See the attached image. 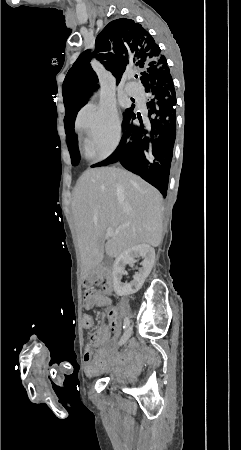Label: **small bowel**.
Listing matches in <instances>:
<instances>
[{
    "instance_id": "c3829d8e",
    "label": "small bowel",
    "mask_w": 241,
    "mask_h": 450,
    "mask_svg": "<svg viewBox=\"0 0 241 450\" xmlns=\"http://www.w3.org/2000/svg\"><path fill=\"white\" fill-rule=\"evenodd\" d=\"M87 291L84 293V306L87 309L92 308L95 305H104L107 303L108 299L103 297L99 290L92 288V284H87ZM102 289L106 288V291H110L112 285L107 283L100 286ZM122 322L121 319H108L107 325L99 326L96 331L91 335L90 342L85 346L84 360L86 363V372L89 376L99 375L105 372L111 363H117L119 365H124L126 363V368L128 370H135L137 365L140 363V358L138 356H129L128 358L122 354H114L113 347L114 341L111 338V334L114 333L118 335L120 332ZM86 328H90L93 325H84ZM99 347V354L95 355L93 347ZM129 347L135 349L138 347L136 340L131 339L129 341ZM155 363L159 362L157 356L153 357Z\"/></svg>"
}]
</instances>
